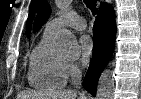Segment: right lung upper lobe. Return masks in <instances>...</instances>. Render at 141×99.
<instances>
[{
    "instance_id": "1",
    "label": "right lung upper lobe",
    "mask_w": 141,
    "mask_h": 99,
    "mask_svg": "<svg viewBox=\"0 0 141 99\" xmlns=\"http://www.w3.org/2000/svg\"><path fill=\"white\" fill-rule=\"evenodd\" d=\"M51 13L50 5L47 3L46 0H41L37 19L34 23V31H38L41 26L47 21Z\"/></svg>"
}]
</instances>
